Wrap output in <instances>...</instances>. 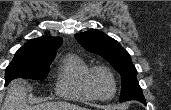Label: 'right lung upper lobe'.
Returning a JSON list of instances; mask_svg holds the SVG:
<instances>
[{
	"mask_svg": "<svg viewBox=\"0 0 171 110\" xmlns=\"http://www.w3.org/2000/svg\"><path fill=\"white\" fill-rule=\"evenodd\" d=\"M62 44L60 37H46L29 40L16 53L25 56L49 57L55 56L57 49Z\"/></svg>",
	"mask_w": 171,
	"mask_h": 110,
	"instance_id": "obj_1",
	"label": "right lung upper lobe"
}]
</instances>
